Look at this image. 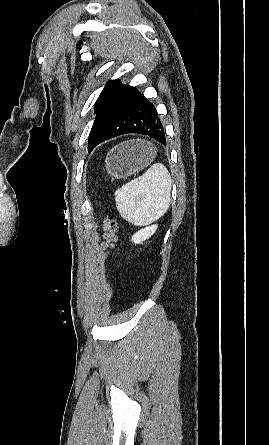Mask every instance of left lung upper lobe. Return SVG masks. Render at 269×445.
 Listing matches in <instances>:
<instances>
[{"mask_svg": "<svg viewBox=\"0 0 269 445\" xmlns=\"http://www.w3.org/2000/svg\"><path fill=\"white\" fill-rule=\"evenodd\" d=\"M125 87V85L120 83L119 79L112 80L106 84L103 91L101 92L95 104L96 118L88 139L89 152L91 151L94 140L104 128L109 117L117 106Z\"/></svg>", "mask_w": 269, "mask_h": 445, "instance_id": "left-lung-upper-lobe-1", "label": "left lung upper lobe"}]
</instances>
